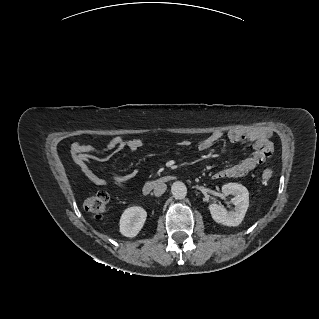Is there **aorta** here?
I'll return each instance as SVG.
<instances>
[{"label":"aorta","instance_id":"762f6f07","mask_svg":"<svg viewBox=\"0 0 319 319\" xmlns=\"http://www.w3.org/2000/svg\"><path fill=\"white\" fill-rule=\"evenodd\" d=\"M171 192L175 199H184L187 195L186 185L181 181H176L171 186Z\"/></svg>","mask_w":319,"mask_h":319}]
</instances>
